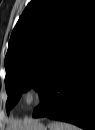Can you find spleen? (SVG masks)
<instances>
[{
    "instance_id": "3e777b00",
    "label": "spleen",
    "mask_w": 95,
    "mask_h": 130,
    "mask_svg": "<svg viewBox=\"0 0 95 130\" xmlns=\"http://www.w3.org/2000/svg\"><path fill=\"white\" fill-rule=\"evenodd\" d=\"M48 128L49 130H80L77 126L61 121H52Z\"/></svg>"
}]
</instances>
